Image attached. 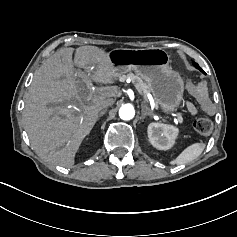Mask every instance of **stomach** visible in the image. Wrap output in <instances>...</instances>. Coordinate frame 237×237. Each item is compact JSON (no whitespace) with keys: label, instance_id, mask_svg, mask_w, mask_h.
<instances>
[{"label":"stomach","instance_id":"stomach-1","mask_svg":"<svg viewBox=\"0 0 237 237\" xmlns=\"http://www.w3.org/2000/svg\"><path fill=\"white\" fill-rule=\"evenodd\" d=\"M117 76L133 70L149 87L157 107L167 117L182 105L185 84L179 72L170 69L168 53L159 47L114 49L108 53Z\"/></svg>","mask_w":237,"mask_h":237}]
</instances>
